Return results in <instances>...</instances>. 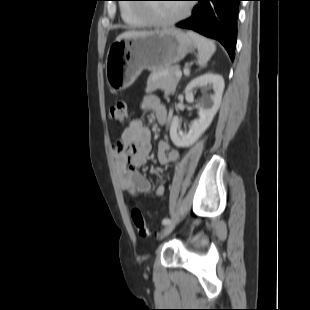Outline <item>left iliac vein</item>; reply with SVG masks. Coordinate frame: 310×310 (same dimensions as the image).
<instances>
[{"mask_svg":"<svg viewBox=\"0 0 310 310\" xmlns=\"http://www.w3.org/2000/svg\"><path fill=\"white\" fill-rule=\"evenodd\" d=\"M176 223H177V221L174 220V221L170 222L169 224H167V225L163 228L160 237H161V238H164V237H166L167 235H169V234L172 232V230L175 228Z\"/></svg>","mask_w":310,"mask_h":310,"instance_id":"obj_1","label":"left iliac vein"}]
</instances>
